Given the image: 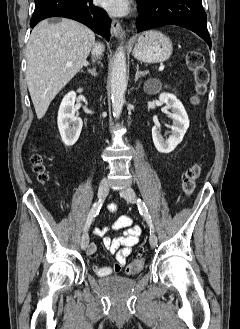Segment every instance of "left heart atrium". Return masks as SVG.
<instances>
[{
	"label": "left heart atrium",
	"mask_w": 240,
	"mask_h": 329,
	"mask_svg": "<svg viewBox=\"0 0 240 329\" xmlns=\"http://www.w3.org/2000/svg\"><path fill=\"white\" fill-rule=\"evenodd\" d=\"M100 4L113 15H122L128 9V0H100Z\"/></svg>",
	"instance_id": "39dd6f15"
}]
</instances>
